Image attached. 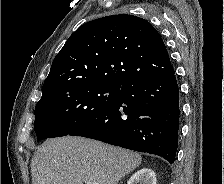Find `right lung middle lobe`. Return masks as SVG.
Segmentation results:
<instances>
[{"instance_id": "dd1d6c3e", "label": "right lung middle lobe", "mask_w": 224, "mask_h": 184, "mask_svg": "<svg viewBox=\"0 0 224 184\" xmlns=\"http://www.w3.org/2000/svg\"><path fill=\"white\" fill-rule=\"evenodd\" d=\"M123 85L82 83L40 101L35 108L38 141L69 135L95 119L119 97Z\"/></svg>"}]
</instances>
